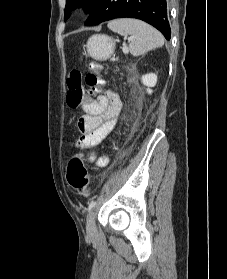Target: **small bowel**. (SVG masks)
I'll return each mask as SVG.
<instances>
[{"mask_svg":"<svg viewBox=\"0 0 227 279\" xmlns=\"http://www.w3.org/2000/svg\"><path fill=\"white\" fill-rule=\"evenodd\" d=\"M122 108V101L117 93L107 89L95 100L86 101L83 109L86 112L78 121V131L81 134L79 144L82 147L100 144L105 136L116 125ZM90 160L94 156L89 157ZM97 165L105 166L108 163L106 156L97 160Z\"/></svg>","mask_w":227,"mask_h":279,"instance_id":"obj_1","label":"small bowel"}]
</instances>
